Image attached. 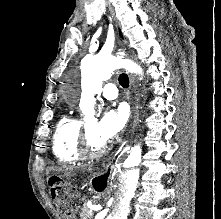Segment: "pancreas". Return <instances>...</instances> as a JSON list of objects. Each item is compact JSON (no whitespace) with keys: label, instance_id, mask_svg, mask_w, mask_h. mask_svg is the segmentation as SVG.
<instances>
[{"label":"pancreas","instance_id":"obj_1","mask_svg":"<svg viewBox=\"0 0 221 219\" xmlns=\"http://www.w3.org/2000/svg\"><path fill=\"white\" fill-rule=\"evenodd\" d=\"M91 210L87 206L86 203L83 204L81 211H80V218L81 219H91L93 216V212H90Z\"/></svg>","mask_w":221,"mask_h":219}]
</instances>
